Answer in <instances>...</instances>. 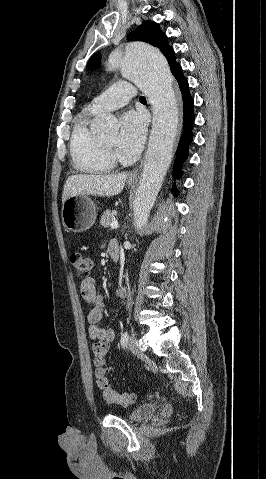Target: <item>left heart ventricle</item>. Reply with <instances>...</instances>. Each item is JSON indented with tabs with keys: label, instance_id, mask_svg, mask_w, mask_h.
Segmentation results:
<instances>
[{
	"label": "left heart ventricle",
	"instance_id": "1",
	"mask_svg": "<svg viewBox=\"0 0 266 479\" xmlns=\"http://www.w3.org/2000/svg\"><path fill=\"white\" fill-rule=\"evenodd\" d=\"M104 140H106L108 143H110L111 145H113L115 148L118 147V142H117V139H118V135H117V132H113V133H110L108 135H105L103 137Z\"/></svg>",
	"mask_w": 266,
	"mask_h": 479
}]
</instances>
